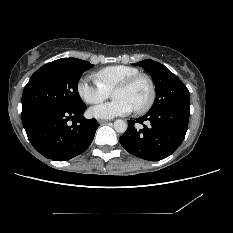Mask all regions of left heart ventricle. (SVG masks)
<instances>
[{
	"mask_svg": "<svg viewBox=\"0 0 233 233\" xmlns=\"http://www.w3.org/2000/svg\"><path fill=\"white\" fill-rule=\"evenodd\" d=\"M149 96V86L143 79L136 81L131 87L113 91L112 97L128 101L134 109L143 106Z\"/></svg>",
	"mask_w": 233,
	"mask_h": 233,
	"instance_id": "1",
	"label": "left heart ventricle"
}]
</instances>
